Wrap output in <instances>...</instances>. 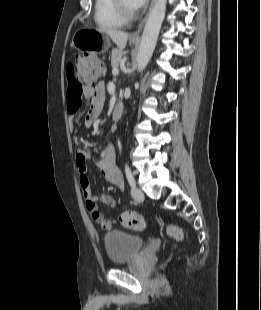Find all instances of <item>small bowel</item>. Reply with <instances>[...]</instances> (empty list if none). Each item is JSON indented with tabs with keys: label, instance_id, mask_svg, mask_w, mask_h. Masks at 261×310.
<instances>
[{
	"label": "small bowel",
	"instance_id": "1",
	"mask_svg": "<svg viewBox=\"0 0 261 310\" xmlns=\"http://www.w3.org/2000/svg\"><path fill=\"white\" fill-rule=\"evenodd\" d=\"M69 88H68V108L74 114L80 106V98L86 97L91 100L90 106L84 116L87 127H93L98 121L104 102V87L102 83L95 86L79 85L72 76V70H68ZM91 159V153L85 149H79L75 154V163L78 169L79 182L82 188L83 196L87 210L92 215L93 219L105 229H111L115 224V220L108 219L98 208V201L114 206L115 199L109 194L102 193L95 195L92 192L87 161ZM115 148L111 142H106L99 156L95 160V166L100 170L105 180L109 182L117 190L121 191L124 188L123 176L116 166Z\"/></svg>",
	"mask_w": 261,
	"mask_h": 310
}]
</instances>
